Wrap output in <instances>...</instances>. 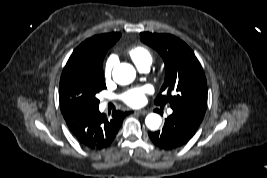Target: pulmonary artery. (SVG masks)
Here are the masks:
<instances>
[{"mask_svg":"<svg viewBox=\"0 0 267 178\" xmlns=\"http://www.w3.org/2000/svg\"><path fill=\"white\" fill-rule=\"evenodd\" d=\"M138 68L142 72H147L150 69V64H144V65H142V66H140ZM103 105H105V104H103ZM168 112L172 113V110H169Z\"/></svg>","mask_w":267,"mask_h":178,"instance_id":"e3ab8cb5","label":"pulmonary artery"}]
</instances>
